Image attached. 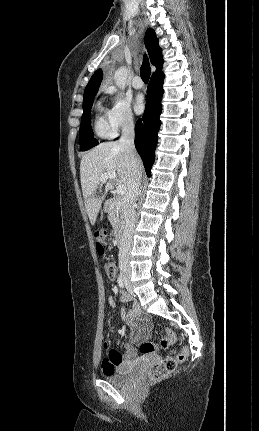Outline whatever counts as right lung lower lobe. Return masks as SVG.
<instances>
[{
    "label": "right lung lower lobe",
    "instance_id": "obj_1",
    "mask_svg": "<svg viewBox=\"0 0 259 431\" xmlns=\"http://www.w3.org/2000/svg\"><path fill=\"white\" fill-rule=\"evenodd\" d=\"M164 74L155 72L147 87V100L143 117L138 119L135 126V147L139 153L147 176L151 174V167L155 159L157 133L161 121V99L163 95Z\"/></svg>",
    "mask_w": 259,
    "mask_h": 431
}]
</instances>
